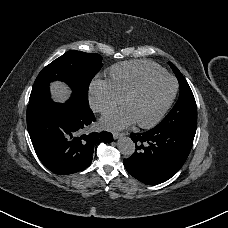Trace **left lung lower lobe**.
I'll use <instances>...</instances> for the list:
<instances>
[{
  "mask_svg": "<svg viewBox=\"0 0 228 228\" xmlns=\"http://www.w3.org/2000/svg\"><path fill=\"white\" fill-rule=\"evenodd\" d=\"M196 129L156 126L139 134H131L135 152L124 159L128 173L150 185L163 183L174 176L185 163L192 148Z\"/></svg>",
  "mask_w": 228,
  "mask_h": 228,
  "instance_id": "left-lung-lower-lobe-1",
  "label": "left lung lower lobe"
}]
</instances>
